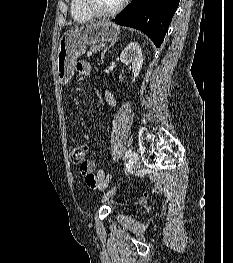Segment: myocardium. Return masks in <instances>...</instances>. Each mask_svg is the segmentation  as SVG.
Wrapping results in <instances>:
<instances>
[{"label": "myocardium", "instance_id": "obj_1", "mask_svg": "<svg viewBox=\"0 0 233 263\" xmlns=\"http://www.w3.org/2000/svg\"><path fill=\"white\" fill-rule=\"evenodd\" d=\"M127 0H121L120 3L109 11H100L96 9L90 0H82L84 9L92 16L97 18L111 17L118 14L125 6Z\"/></svg>", "mask_w": 233, "mask_h": 263}]
</instances>
